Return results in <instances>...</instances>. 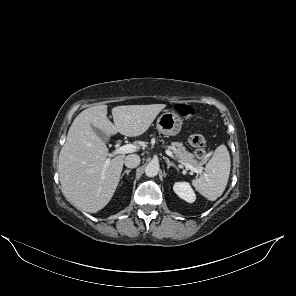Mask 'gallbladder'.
I'll list each match as a JSON object with an SVG mask.
<instances>
[{
  "instance_id": "obj_1",
  "label": "gallbladder",
  "mask_w": 296,
  "mask_h": 296,
  "mask_svg": "<svg viewBox=\"0 0 296 296\" xmlns=\"http://www.w3.org/2000/svg\"><path fill=\"white\" fill-rule=\"evenodd\" d=\"M95 133L103 140V141H108L109 136H107L104 132L94 128Z\"/></svg>"
}]
</instances>
